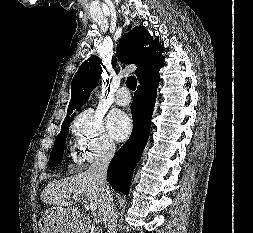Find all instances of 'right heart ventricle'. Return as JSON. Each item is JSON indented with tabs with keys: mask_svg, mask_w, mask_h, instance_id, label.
Wrapping results in <instances>:
<instances>
[{
	"mask_svg": "<svg viewBox=\"0 0 253 233\" xmlns=\"http://www.w3.org/2000/svg\"><path fill=\"white\" fill-rule=\"evenodd\" d=\"M72 157H73V160H74L75 163H78V164L81 163V160L75 154H73Z\"/></svg>",
	"mask_w": 253,
	"mask_h": 233,
	"instance_id": "right-heart-ventricle-1",
	"label": "right heart ventricle"
}]
</instances>
